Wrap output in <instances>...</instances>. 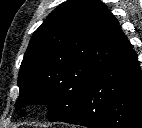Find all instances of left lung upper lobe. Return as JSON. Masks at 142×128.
<instances>
[{
    "instance_id": "obj_1",
    "label": "left lung upper lobe",
    "mask_w": 142,
    "mask_h": 128,
    "mask_svg": "<svg viewBox=\"0 0 142 128\" xmlns=\"http://www.w3.org/2000/svg\"><path fill=\"white\" fill-rule=\"evenodd\" d=\"M128 43L101 1L60 5L30 40L19 71L16 109L48 103L50 121L64 119L90 79Z\"/></svg>"
}]
</instances>
